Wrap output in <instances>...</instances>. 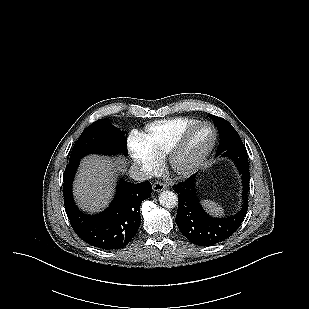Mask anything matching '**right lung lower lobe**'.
Instances as JSON below:
<instances>
[{
	"instance_id": "obj_1",
	"label": "right lung lower lobe",
	"mask_w": 309,
	"mask_h": 309,
	"mask_svg": "<svg viewBox=\"0 0 309 309\" xmlns=\"http://www.w3.org/2000/svg\"><path fill=\"white\" fill-rule=\"evenodd\" d=\"M80 160L66 166L63 196L67 216L75 233L91 246L104 250H118L136 235L141 223L140 205L151 196L150 182L138 184L119 181L110 206L100 214L81 212L72 197V181Z\"/></svg>"
}]
</instances>
